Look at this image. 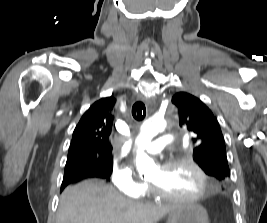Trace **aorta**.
<instances>
[{
    "instance_id": "1",
    "label": "aorta",
    "mask_w": 267,
    "mask_h": 223,
    "mask_svg": "<svg viewBox=\"0 0 267 223\" xmlns=\"http://www.w3.org/2000/svg\"><path fill=\"white\" fill-rule=\"evenodd\" d=\"M166 128L164 120H147L145 121L140 130V134L136 139L137 155H136V168L139 174L149 175L157 170L154 161L144 152L145 148L149 145L153 137Z\"/></svg>"
}]
</instances>
